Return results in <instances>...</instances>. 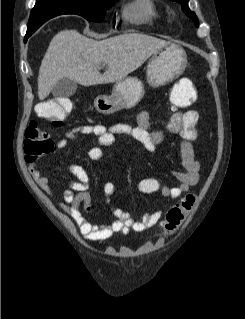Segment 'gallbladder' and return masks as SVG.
Masks as SVG:
<instances>
[{
    "label": "gallbladder",
    "mask_w": 245,
    "mask_h": 319,
    "mask_svg": "<svg viewBox=\"0 0 245 319\" xmlns=\"http://www.w3.org/2000/svg\"><path fill=\"white\" fill-rule=\"evenodd\" d=\"M77 87V82L69 78H62L53 87L52 94L60 98L70 97L76 92Z\"/></svg>",
    "instance_id": "bac80fb5"
}]
</instances>
